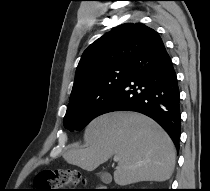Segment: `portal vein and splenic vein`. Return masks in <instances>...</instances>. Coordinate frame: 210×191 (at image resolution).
<instances>
[{
    "mask_svg": "<svg viewBox=\"0 0 210 191\" xmlns=\"http://www.w3.org/2000/svg\"><path fill=\"white\" fill-rule=\"evenodd\" d=\"M119 160V156L115 155L114 156V161H118Z\"/></svg>",
    "mask_w": 210,
    "mask_h": 191,
    "instance_id": "18ae733b",
    "label": "portal vein and splenic vein"
}]
</instances>
